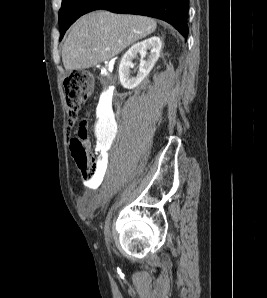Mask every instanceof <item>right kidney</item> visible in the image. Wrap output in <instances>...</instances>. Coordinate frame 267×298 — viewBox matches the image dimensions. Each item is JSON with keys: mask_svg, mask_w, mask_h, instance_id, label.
<instances>
[{"mask_svg": "<svg viewBox=\"0 0 267 298\" xmlns=\"http://www.w3.org/2000/svg\"><path fill=\"white\" fill-rule=\"evenodd\" d=\"M161 47V39L157 36H153L134 44L124 54L119 65L120 83L124 88L134 89L144 80L145 77H147L160 56ZM147 50H150V53L147 60H144L143 58L147 55ZM138 54L142 56L139 71L135 77H130V68L134 67L132 60Z\"/></svg>", "mask_w": 267, "mask_h": 298, "instance_id": "ca27d5eb", "label": "right kidney"}]
</instances>
